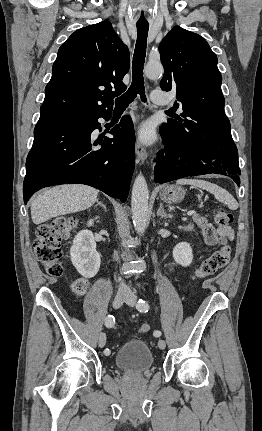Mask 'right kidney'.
<instances>
[{"mask_svg":"<svg viewBox=\"0 0 262 431\" xmlns=\"http://www.w3.org/2000/svg\"><path fill=\"white\" fill-rule=\"evenodd\" d=\"M92 225L93 219L88 221V226ZM70 255L72 264L85 278H91L99 271L101 259L91 231L82 230L75 236Z\"/></svg>","mask_w":262,"mask_h":431,"instance_id":"ca27d5eb","label":"right kidney"}]
</instances>
